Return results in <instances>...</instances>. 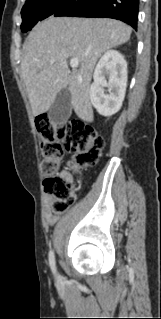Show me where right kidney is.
<instances>
[{"label":"right kidney","instance_id":"ca27d5eb","mask_svg":"<svg viewBox=\"0 0 161 319\" xmlns=\"http://www.w3.org/2000/svg\"><path fill=\"white\" fill-rule=\"evenodd\" d=\"M93 79L89 92L92 105L106 117L117 113L127 87V63L123 55L115 50L107 51L97 64ZM105 88H108V93Z\"/></svg>","mask_w":161,"mask_h":319}]
</instances>
